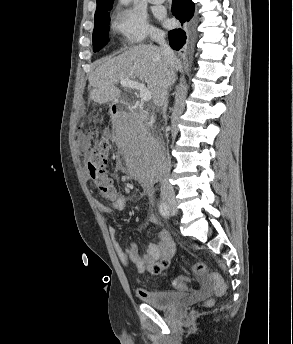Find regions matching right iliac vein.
Instances as JSON below:
<instances>
[{"label": "right iliac vein", "mask_w": 293, "mask_h": 344, "mask_svg": "<svg viewBox=\"0 0 293 344\" xmlns=\"http://www.w3.org/2000/svg\"><path fill=\"white\" fill-rule=\"evenodd\" d=\"M166 204H167V206H168L170 209H172L173 211H177L175 201H167Z\"/></svg>", "instance_id": "63e3f726"}]
</instances>
